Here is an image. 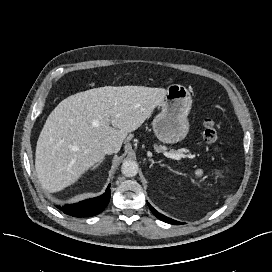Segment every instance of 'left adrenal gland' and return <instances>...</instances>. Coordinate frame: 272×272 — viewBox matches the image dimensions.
Segmentation results:
<instances>
[{
	"instance_id": "left-adrenal-gland-1",
	"label": "left adrenal gland",
	"mask_w": 272,
	"mask_h": 272,
	"mask_svg": "<svg viewBox=\"0 0 272 272\" xmlns=\"http://www.w3.org/2000/svg\"><path fill=\"white\" fill-rule=\"evenodd\" d=\"M149 161L151 162L150 168H151L155 163H158V164L161 163V161H154L152 158H149Z\"/></svg>"
}]
</instances>
